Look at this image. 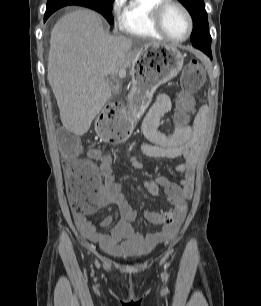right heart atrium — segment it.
I'll list each match as a JSON object with an SVG mask.
<instances>
[{
    "label": "right heart atrium",
    "instance_id": "obj_1",
    "mask_svg": "<svg viewBox=\"0 0 261 306\" xmlns=\"http://www.w3.org/2000/svg\"><path fill=\"white\" fill-rule=\"evenodd\" d=\"M122 5V0H114L112 4V12H113V17L115 21L118 20L120 9Z\"/></svg>",
    "mask_w": 261,
    "mask_h": 306
}]
</instances>
